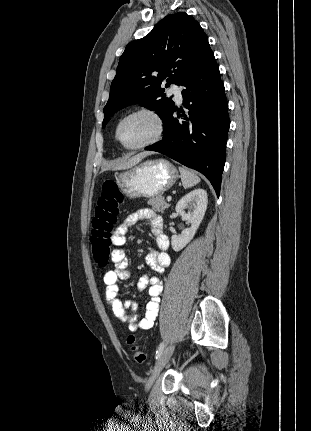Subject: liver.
Returning <instances> with one entry per match:
<instances>
[{
  "label": "liver",
  "mask_w": 311,
  "mask_h": 431,
  "mask_svg": "<svg viewBox=\"0 0 311 431\" xmlns=\"http://www.w3.org/2000/svg\"><path fill=\"white\" fill-rule=\"evenodd\" d=\"M150 154H153V152H140V154H137V156L123 158V160L117 164L116 168H114V170H128V168H133V166H137L139 162H142L143 158L150 156ZM101 172H104V170H101Z\"/></svg>",
  "instance_id": "1"
}]
</instances>
